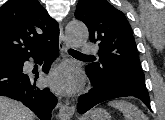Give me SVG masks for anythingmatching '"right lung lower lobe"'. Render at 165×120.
<instances>
[{"mask_svg":"<svg viewBox=\"0 0 165 120\" xmlns=\"http://www.w3.org/2000/svg\"><path fill=\"white\" fill-rule=\"evenodd\" d=\"M58 56V40L49 44L44 50L18 59L7 67L0 68V96H8L21 101L30 108L40 120H49L51 111L57 104V98L48 89H39L31 76L23 73V65L30 57L41 63L46 58L42 69L48 73L51 63Z\"/></svg>","mask_w":165,"mask_h":120,"instance_id":"1","label":"right lung lower lobe"}]
</instances>
